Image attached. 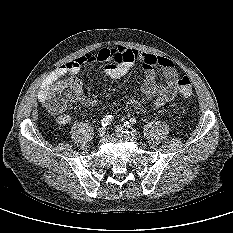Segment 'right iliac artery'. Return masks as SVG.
Instances as JSON below:
<instances>
[{"label": "right iliac artery", "mask_w": 233, "mask_h": 233, "mask_svg": "<svg viewBox=\"0 0 233 233\" xmlns=\"http://www.w3.org/2000/svg\"><path fill=\"white\" fill-rule=\"evenodd\" d=\"M112 121H113V116L107 115L101 120V125H102V127H106L109 124H111Z\"/></svg>", "instance_id": "obj_1"}]
</instances>
